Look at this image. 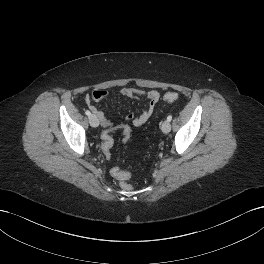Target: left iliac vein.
Listing matches in <instances>:
<instances>
[{"instance_id":"obj_1","label":"left iliac vein","mask_w":264,"mask_h":264,"mask_svg":"<svg viewBox=\"0 0 264 264\" xmlns=\"http://www.w3.org/2000/svg\"><path fill=\"white\" fill-rule=\"evenodd\" d=\"M161 129L164 133H169L171 130V124L168 120L162 123Z\"/></svg>"}]
</instances>
